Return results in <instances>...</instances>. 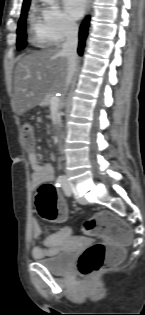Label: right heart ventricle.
<instances>
[{"label": "right heart ventricle", "instance_id": "obj_1", "mask_svg": "<svg viewBox=\"0 0 145 315\" xmlns=\"http://www.w3.org/2000/svg\"><path fill=\"white\" fill-rule=\"evenodd\" d=\"M29 38L31 44L37 48H46L52 43L41 20L34 14L29 19Z\"/></svg>", "mask_w": 145, "mask_h": 315}]
</instances>
